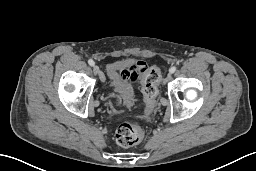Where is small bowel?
Wrapping results in <instances>:
<instances>
[{"label": "small bowel", "instance_id": "small-bowel-1", "mask_svg": "<svg viewBox=\"0 0 256 171\" xmlns=\"http://www.w3.org/2000/svg\"><path fill=\"white\" fill-rule=\"evenodd\" d=\"M146 69H147V65L144 61L134 60L127 63L121 69V75L131 79L134 82L141 74H143L146 71Z\"/></svg>", "mask_w": 256, "mask_h": 171}]
</instances>
